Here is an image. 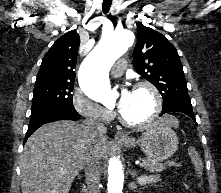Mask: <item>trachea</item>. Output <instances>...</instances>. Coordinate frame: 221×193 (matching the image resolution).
<instances>
[{
	"instance_id": "1",
	"label": "trachea",
	"mask_w": 221,
	"mask_h": 193,
	"mask_svg": "<svg viewBox=\"0 0 221 193\" xmlns=\"http://www.w3.org/2000/svg\"><path fill=\"white\" fill-rule=\"evenodd\" d=\"M112 0H103L102 10L104 14H107L110 10Z\"/></svg>"
}]
</instances>
